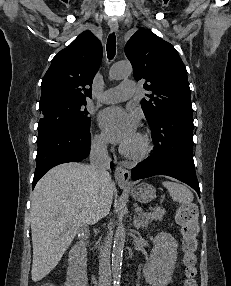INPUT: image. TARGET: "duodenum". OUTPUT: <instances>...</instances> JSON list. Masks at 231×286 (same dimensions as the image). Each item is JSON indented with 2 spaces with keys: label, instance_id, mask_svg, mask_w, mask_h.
Returning <instances> with one entry per match:
<instances>
[{
  "label": "duodenum",
  "instance_id": "obj_1",
  "mask_svg": "<svg viewBox=\"0 0 231 286\" xmlns=\"http://www.w3.org/2000/svg\"><path fill=\"white\" fill-rule=\"evenodd\" d=\"M82 240L85 241L86 240V236L82 237Z\"/></svg>",
  "mask_w": 231,
  "mask_h": 286
}]
</instances>
